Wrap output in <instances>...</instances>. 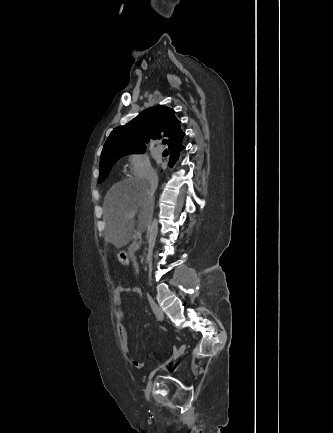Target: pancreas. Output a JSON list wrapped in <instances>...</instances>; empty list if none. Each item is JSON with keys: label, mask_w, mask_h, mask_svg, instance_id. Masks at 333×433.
<instances>
[{"label": "pancreas", "mask_w": 333, "mask_h": 433, "mask_svg": "<svg viewBox=\"0 0 333 433\" xmlns=\"http://www.w3.org/2000/svg\"><path fill=\"white\" fill-rule=\"evenodd\" d=\"M133 249H134V246L132 245V246L129 248V255H130L132 261L135 263V257L133 256Z\"/></svg>", "instance_id": "cf45deb5"}]
</instances>
